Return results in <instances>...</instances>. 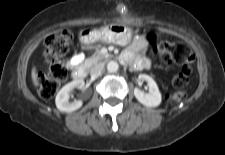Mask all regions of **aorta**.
<instances>
[{
    "instance_id": "762f6f07",
    "label": "aorta",
    "mask_w": 225,
    "mask_h": 155,
    "mask_svg": "<svg viewBox=\"0 0 225 155\" xmlns=\"http://www.w3.org/2000/svg\"><path fill=\"white\" fill-rule=\"evenodd\" d=\"M119 69V64L116 61H110L107 64V71L110 73L117 72Z\"/></svg>"
}]
</instances>
